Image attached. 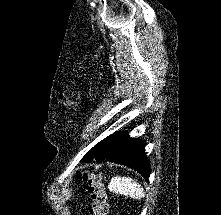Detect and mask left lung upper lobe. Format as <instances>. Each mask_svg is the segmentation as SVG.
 Instances as JSON below:
<instances>
[{"instance_id": "left-lung-upper-lobe-1", "label": "left lung upper lobe", "mask_w": 221, "mask_h": 215, "mask_svg": "<svg viewBox=\"0 0 221 215\" xmlns=\"http://www.w3.org/2000/svg\"><path fill=\"white\" fill-rule=\"evenodd\" d=\"M110 136L97 143L82 159V162H92L105 153Z\"/></svg>"}]
</instances>
